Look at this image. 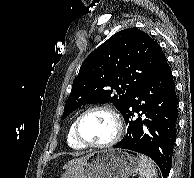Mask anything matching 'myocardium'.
<instances>
[{"mask_svg":"<svg viewBox=\"0 0 194 178\" xmlns=\"http://www.w3.org/2000/svg\"><path fill=\"white\" fill-rule=\"evenodd\" d=\"M93 111H104L108 113L115 122V133L112 136V138L105 143H100V144L90 143V142L85 141L80 135L79 126H80V122L82 118L86 114L93 112ZM122 133H123L122 119L119 113L114 108L108 105H93L91 107H88L82 113L79 114V116L75 119L74 125H73V134H74L75 139L82 146L87 147V148H98V149L109 148L115 145L120 140Z\"/></svg>","mask_w":194,"mask_h":178,"instance_id":"1","label":"myocardium"}]
</instances>
